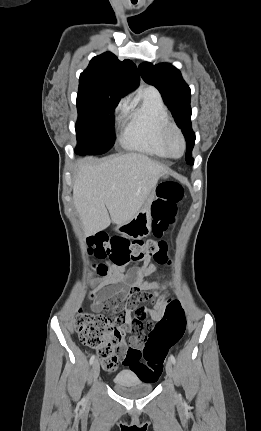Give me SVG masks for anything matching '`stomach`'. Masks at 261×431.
<instances>
[{
  "label": "stomach",
  "mask_w": 261,
  "mask_h": 431,
  "mask_svg": "<svg viewBox=\"0 0 261 431\" xmlns=\"http://www.w3.org/2000/svg\"><path fill=\"white\" fill-rule=\"evenodd\" d=\"M170 174L166 173L161 176L162 179H167ZM156 197V187L152 190L151 194L145 201L142 208L137 214L128 222L123 224H116L115 231L128 236L132 239H141L149 235L151 231V204Z\"/></svg>",
  "instance_id": "obj_1"
}]
</instances>
